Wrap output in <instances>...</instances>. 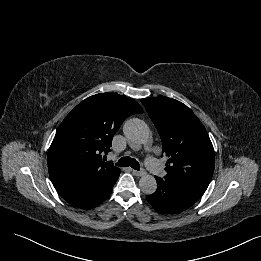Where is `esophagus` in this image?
Listing matches in <instances>:
<instances>
[{
  "label": "esophagus",
  "mask_w": 261,
  "mask_h": 261,
  "mask_svg": "<svg viewBox=\"0 0 261 261\" xmlns=\"http://www.w3.org/2000/svg\"><path fill=\"white\" fill-rule=\"evenodd\" d=\"M133 175L137 176V177H140V176H143L146 172L144 170H133L132 171Z\"/></svg>",
  "instance_id": "34e87169"
}]
</instances>
